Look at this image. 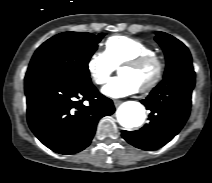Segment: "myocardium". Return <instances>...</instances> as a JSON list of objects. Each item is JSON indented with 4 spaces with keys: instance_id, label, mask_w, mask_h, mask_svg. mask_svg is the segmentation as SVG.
<instances>
[{
    "instance_id": "obj_1",
    "label": "myocardium",
    "mask_w": 212,
    "mask_h": 183,
    "mask_svg": "<svg viewBox=\"0 0 212 183\" xmlns=\"http://www.w3.org/2000/svg\"><path fill=\"white\" fill-rule=\"evenodd\" d=\"M153 64L156 68L155 75L152 78V80L145 86L138 88L139 92L145 93L157 86V84L162 79L163 73H164V63L162 59L156 55V54H145L138 56L136 58H133L123 65L120 66V69L122 68H140L146 65Z\"/></svg>"
}]
</instances>
